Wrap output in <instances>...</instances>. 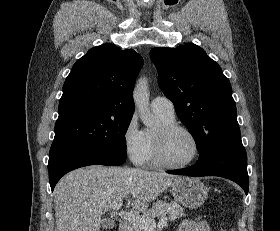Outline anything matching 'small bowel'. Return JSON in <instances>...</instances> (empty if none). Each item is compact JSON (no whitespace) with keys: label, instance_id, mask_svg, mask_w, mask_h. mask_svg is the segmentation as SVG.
I'll list each match as a JSON object with an SVG mask.
<instances>
[{"label":"small bowel","instance_id":"c3829d8e","mask_svg":"<svg viewBox=\"0 0 280 231\" xmlns=\"http://www.w3.org/2000/svg\"><path fill=\"white\" fill-rule=\"evenodd\" d=\"M178 231H209V226L206 221H194L192 219H184L179 227Z\"/></svg>","mask_w":280,"mask_h":231}]
</instances>
